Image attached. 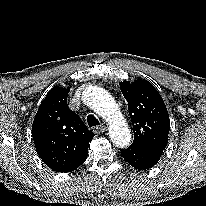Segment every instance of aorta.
Segmentation results:
<instances>
[{
    "mask_svg": "<svg viewBox=\"0 0 206 206\" xmlns=\"http://www.w3.org/2000/svg\"><path fill=\"white\" fill-rule=\"evenodd\" d=\"M83 99L98 115L108 120L111 141L117 147H127L131 141L130 129L113 97L103 88L90 87L84 91Z\"/></svg>",
    "mask_w": 206,
    "mask_h": 206,
    "instance_id": "aorta-1",
    "label": "aorta"
}]
</instances>
